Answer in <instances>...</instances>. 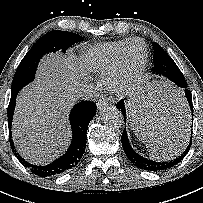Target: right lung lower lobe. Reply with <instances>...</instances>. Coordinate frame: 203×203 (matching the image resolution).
<instances>
[{
	"instance_id": "1",
	"label": "right lung lower lobe",
	"mask_w": 203,
	"mask_h": 203,
	"mask_svg": "<svg viewBox=\"0 0 203 203\" xmlns=\"http://www.w3.org/2000/svg\"><path fill=\"white\" fill-rule=\"evenodd\" d=\"M16 95H11V100L8 106V126L10 145L18 160L30 169L32 173L39 177H50L61 174L78 164L85 148H86V134L90 120L96 114V104L91 101H82L76 104L70 112V121L72 126L73 139L67 152L56 159L49 165H33L23 159L19 153L14 149V143L11 139V124L15 109Z\"/></svg>"
}]
</instances>
